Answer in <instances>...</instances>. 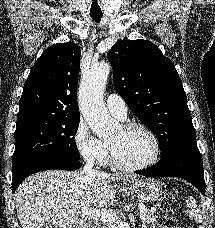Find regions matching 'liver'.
Instances as JSON below:
<instances>
[{
    "label": "liver",
    "instance_id": "1",
    "mask_svg": "<svg viewBox=\"0 0 215 228\" xmlns=\"http://www.w3.org/2000/svg\"><path fill=\"white\" fill-rule=\"evenodd\" d=\"M124 176L86 178L76 172L46 170L26 178L15 196L22 228H89L84 208H108L115 200L111 182ZM132 178V176H126ZM93 210V208H91Z\"/></svg>",
    "mask_w": 215,
    "mask_h": 228
}]
</instances>
